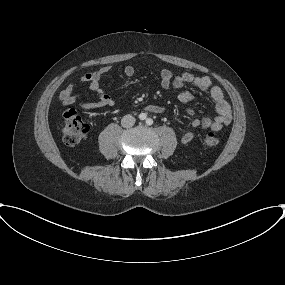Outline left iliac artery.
Masks as SVG:
<instances>
[{"label":"left iliac artery","mask_w":285,"mask_h":285,"mask_svg":"<svg viewBox=\"0 0 285 285\" xmlns=\"http://www.w3.org/2000/svg\"><path fill=\"white\" fill-rule=\"evenodd\" d=\"M147 125H152L153 124V120L151 118H148L146 120Z\"/></svg>","instance_id":"1"}]
</instances>
